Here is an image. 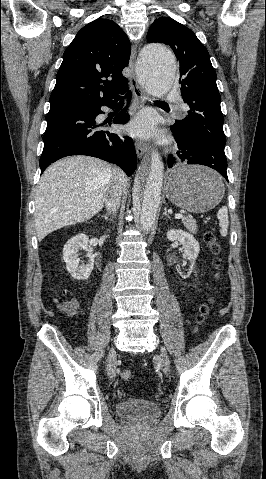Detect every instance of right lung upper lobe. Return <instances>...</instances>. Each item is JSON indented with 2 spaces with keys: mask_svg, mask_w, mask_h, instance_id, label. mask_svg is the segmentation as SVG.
Instances as JSON below:
<instances>
[{
  "mask_svg": "<svg viewBox=\"0 0 266 479\" xmlns=\"http://www.w3.org/2000/svg\"><path fill=\"white\" fill-rule=\"evenodd\" d=\"M130 51L127 35L114 21L99 18L84 26L63 54L50 108L116 97L128 84L122 70Z\"/></svg>",
  "mask_w": 266,
  "mask_h": 479,
  "instance_id": "cb5924a9",
  "label": "right lung upper lobe"
}]
</instances>
